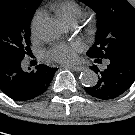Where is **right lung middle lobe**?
Masks as SVG:
<instances>
[{
  "label": "right lung middle lobe",
  "mask_w": 135,
  "mask_h": 135,
  "mask_svg": "<svg viewBox=\"0 0 135 135\" xmlns=\"http://www.w3.org/2000/svg\"><path fill=\"white\" fill-rule=\"evenodd\" d=\"M39 2L0 0V51L20 58L30 52V23Z\"/></svg>",
  "instance_id": "right-lung-middle-lobe-1"
}]
</instances>
